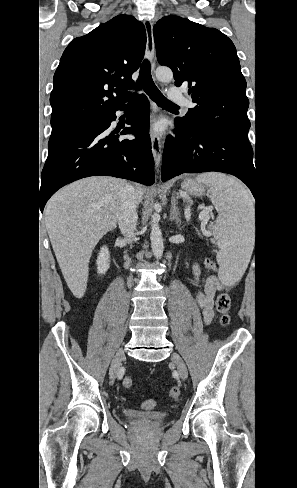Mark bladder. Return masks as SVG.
<instances>
[{
    "instance_id": "31cf9c89",
    "label": "bladder",
    "mask_w": 297,
    "mask_h": 488,
    "mask_svg": "<svg viewBox=\"0 0 297 488\" xmlns=\"http://www.w3.org/2000/svg\"><path fill=\"white\" fill-rule=\"evenodd\" d=\"M125 416L131 421H137L145 424L160 423L167 418L165 412L153 411V412H139L136 410H127Z\"/></svg>"
}]
</instances>
